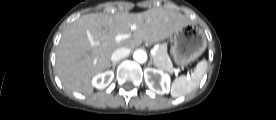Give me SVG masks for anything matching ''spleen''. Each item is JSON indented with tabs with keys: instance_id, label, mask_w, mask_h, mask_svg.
Instances as JSON below:
<instances>
[{
	"instance_id": "1",
	"label": "spleen",
	"mask_w": 276,
	"mask_h": 120,
	"mask_svg": "<svg viewBox=\"0 0 276 120\" xmlns=\"http://www.w3.org/2000/svg\"><path fill=\"white\" fill-rule=\"evenodd\" d=\"M207 69V61H200L190 76H180L171 87L172 97H181L193 91L200 83Z\"/></svg>"
}]
</instances>
